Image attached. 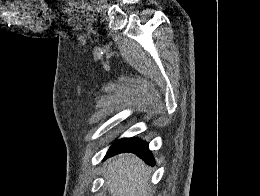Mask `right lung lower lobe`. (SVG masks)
Instances as JSON below:
<instances>
[{"label": "right lung lower lobe", "instance_id": "1", "mask_svg": "<svg viewBox=\"0 0 260 196\" xmlns=\"http://www.w3.org/2000/svg\"><path fill=\"white\" fill-rule=\"evenodd\" d=\"M123 152L135 153L137 156H139L141 159H143L148 164H150V165L155 164L154 157L148 149V144L137 138L128 139L122 145L110 148L109 151L107 152V155L105 158L113 156L118 153H123Z\"/></svg>", "mask_w": 260, "mask_h": 196}]
</instances>
